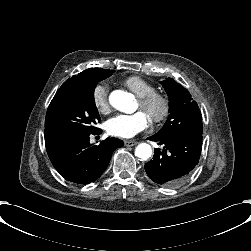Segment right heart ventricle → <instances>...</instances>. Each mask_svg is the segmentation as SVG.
<instances>
[{
    "label": "right heart ventricle",
    "mask_w": 251,
    "mask_h": 251,
    "mask_svg": "<svg viewBox=\"0 0 251 251\" xmlns=\"http://www.w3.org/2000/svg\"><path fill=\"white\" fill-rule=\"evenodd\" d=\"M123 83L137 96H142L155 91L154 85L139 75L127 76Z\"/></svg>",
    "instance_id": "obj_1"
}]
</instances>
